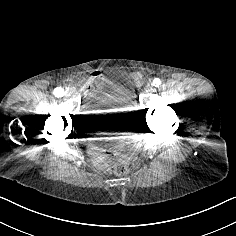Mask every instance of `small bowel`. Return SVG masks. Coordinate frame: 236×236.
<instances>
[{"mask_svg":"<svg viewBox=\"0 0 236 236\" xmlns=\"http://www.w3.org/2000/svg\"><path fill=\"white\" fill-rule=\"evenodd\" d=\"M104 75L100 71L92 72L88 77L81 81V86L84 92L88 95L93 93L95 84L102 82ZM119 140L128 147V150L132 153L137 147L138 139L133 133H127L126 135L120 136ZM90 151L92 155L98 160L99 163L107 165L108 158L103 154L102 148L96 143L90 144Z\"/></svg>","mask_w":236,"mask_h":236,"instance_id":"small-bowel-1","label":"small bowel"}]
</instances>
